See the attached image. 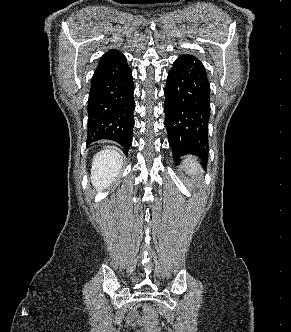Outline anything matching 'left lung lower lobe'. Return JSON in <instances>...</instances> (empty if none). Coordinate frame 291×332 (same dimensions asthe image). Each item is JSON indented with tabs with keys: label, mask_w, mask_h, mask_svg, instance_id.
Segmentation results:
<instances>
[{
	"label": "left lung lower lobe",
	"mask_w": 291,
	"mask_h": 332,
	"mask_svg": "<svg viewBox=\"0 0 291 332\" xmlns=\"http://www.w3.org/2000/svg\"><path fill=\"white\" fill-rule=\"evenodd\" d=\"M164 94L165 127L174 160L193 154L206 163L210 84L201 61L193 55L177 58L168 73ZM183 145L190 151H183Z\"/></svg>",
	"instance_id": "left-lung-lower-lobe-1"
}]
</instances>
